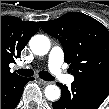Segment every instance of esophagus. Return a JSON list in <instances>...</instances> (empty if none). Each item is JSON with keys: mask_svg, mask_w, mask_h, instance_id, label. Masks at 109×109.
<instances>
[{"mask_svg": "<svg viewBox=\"0 0 109 109\" xmlns=\"http://www.w3.org/2000/svg\"><path fill=\"white\" fill-rule=\"evenodd\" d=\"M40 82H41L44 86H46V85H49V84H50V82H49V81H45V80H42V79H40Z\"/></svg>", "mask_w": 109, "mask_h": 109, "instance_id": "esophagus-1", "label": "esophagus"}]
</instances>
